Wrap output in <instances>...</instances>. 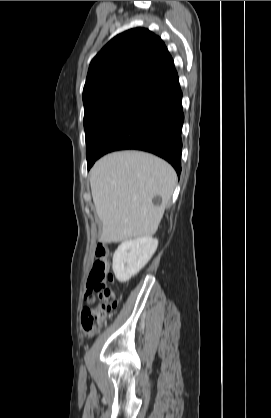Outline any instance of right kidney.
<instances>
[{
    "instance_id": "right-kidney-1",
    "label": "right kidney",
    "mask_w": 271,
    "mask_h": 418,
    "mask_svg": "<svg viewBox=\"0 0 271 418\" xmlns=\"http://www.w3.org/2000/svg\"><path fill=\"white\" fill-rule=\"evenodd\" d=\"M158 240L142 237L122 242L113 255V271L118 281L126 282L136 275L151 259Z\"/></svg>"
}]
</instances>
